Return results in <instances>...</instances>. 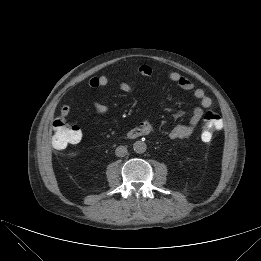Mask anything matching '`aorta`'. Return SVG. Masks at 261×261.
<instances>
[{
	"mask_svg": "<svg viewBox=\"0 0 261 261\" xmlns=\"http://www.w3.org/2000/svg\"><path fill=\"white\" fill-rule=\"evenodd\" d=\"M133 149L136 153L141 154L146 151L147 145L143 141H136L133 145Z\"/></svg>",
	"mask_w": 261,
	"mask_h": 261,
	"instance_id": "obj_1",
	"label": "aorta"
}]
</instances>
